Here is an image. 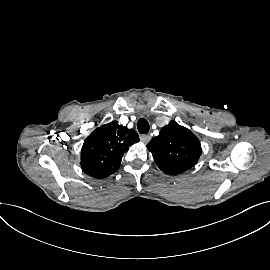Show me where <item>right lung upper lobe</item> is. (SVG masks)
<instances>
[{
	"label": "right lung upper lobe",
	"mask_w": 270,
	"mask_h": 270,
	"mask_svg": "<svg viewBox=\"0 0 270 270\" xmlns=\"http://www.w3.org/2000/svg\"><path fill=\"white\" fill-rule=\"evenodd\" d=\"M139 141L133 129L116 121L105 124L92 132L81 150V168L87 175L102 179L116 172L128 147Z\"/></svg>",
	"instance_id": "obj_1"
}]
</instances>
